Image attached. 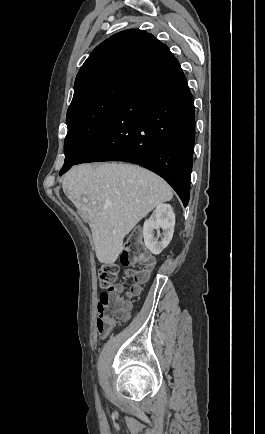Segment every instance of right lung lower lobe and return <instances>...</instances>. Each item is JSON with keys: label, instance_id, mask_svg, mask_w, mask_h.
I'll return each instance as SVG.
<instances>
[{"label": "right lung lower lobe", "instance_id": "98d812e1", "mask_svg": "<svg viewBox=\"0 0 265 434\" xmlns=\"http://www.w3.org/2000/svg\"><path fill=\"white\" fill-rule=\"evenodd\" d=\"M194 141L193 96L168 49L134 76L104 130L75 164H138L164 178L186 207Z\"/></svg>", "mask_w": 265, "mask_h": 434}]
</instances>
